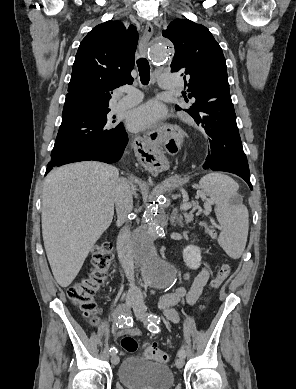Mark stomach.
<instances>
[{
	"label": "stomach",
	"instance_id": "obj_1",
	"mask_svg": "<svg viewBox=\"0 0 296 389\" xmlns=\"http://www.w3.org/2000/svg\"><path fill=\"white\" fill-rule=\"evenodd\" d=\"M149 172L152 176L157 177L161 174L162 169H149Z\"/></svg>",
	"mask_w": 296,
	"mask_h": 389
}]
</instances>
